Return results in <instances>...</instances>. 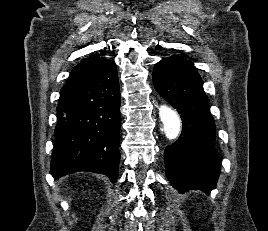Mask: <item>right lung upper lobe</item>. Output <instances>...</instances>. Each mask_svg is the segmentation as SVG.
Returning <instances> with one entry per match:
<instances>
[{
	"label": "right lung upper lobe",
	"instance_id": "1",
	"mask_svg": "<svg viewBox=\"0 0 268 231\" xmlns=\"http://www.w3.org/2000/svg\"><path fill=\"white\" fill-rule=\"evenodd\" d=\"M106 61H108V59L98 56H92L80 62L71 71L67 84L61 89L60 95L70 84L89 76Z\"/></svg>",
	"mask_w": 268,
	"mask_h": 231
}]
</instances>
